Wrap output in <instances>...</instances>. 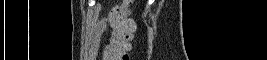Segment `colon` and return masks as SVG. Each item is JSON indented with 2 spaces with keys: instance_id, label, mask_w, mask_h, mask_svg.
Listing matches in <instances>:
<instances>
[{
  "instance_id": "5ec220e1",
  "label": "colon",
  "mask_w": 267,
  "mask_h": 60,
  "mask_svg": "<svg viewBox=\"0 0 267 60\" xmlns=\"http://www.w3.org/2000/svg\"><path fill=\"white\" fill-rule=\"evenodd\" d=\"M131 1H125L111 19L113 31L108 44L102 50L104 60H129L133 33L137 28L131 17Z\"/></svg>"
}]
</instances>
